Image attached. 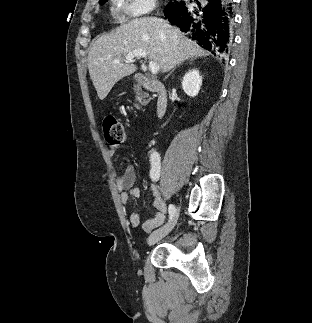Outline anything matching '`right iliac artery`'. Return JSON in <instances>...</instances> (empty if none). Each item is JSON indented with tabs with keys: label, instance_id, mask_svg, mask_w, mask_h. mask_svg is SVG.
<instances>
[{
	"label": "right iliac artery",
	"instance_id": "obj_1",
	"mask_svg": "<svg viewBox=\"0 0 312 323\" xmlns=\"http://www.w3.org/2000/svg\"><path fill=\"white\" fill-rule=\"evenodd\" d=\"M150 161H151V171H150V177L153 181H157L159 178V172H160V157L157 152H152L150 154ZM176 209L173 204L169 205V218L170 220L173 219L175 216Z\"/></svg>",
	"mask_w": 312,
	"mask_h": 323
}]
</instances>
